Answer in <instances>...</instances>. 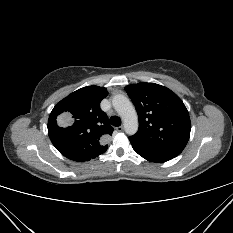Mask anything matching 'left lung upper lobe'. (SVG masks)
<instances>
[{
	"instance_id": "1",
	"label": "left lung upper lobe",
	"mask_w": 233,
	"mask_h": 233,
	"mask_svg": "<svg viewBox=\"0 0 233 233\" xmlns=\"http://www.w3.org/2000/svg\"><path fill=\"white\" fill-rule=\"evenodd\" d=\"M139 117V130L129 137L132 144L171 158L185 148L191 123L182 100L170 89L155 83L125 87Z\"/></svg>"
}]
</instances>
